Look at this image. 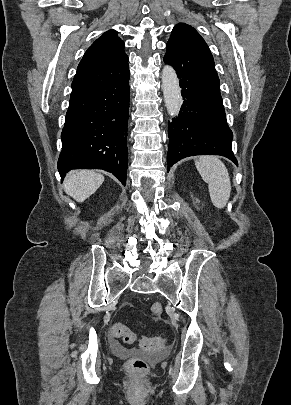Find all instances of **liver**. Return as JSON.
<instances>
[{"label":"liver","instance_id":"liver-1","mask_svg":"<svg viewBox=\"0 0 291 405\" xmlns=\"http://www.w3.org/2000/svg\"><path fill=\"white\" fill-rule=\"evenodd\" d=\"M104 176L92 170H75L64 181L65 192L77 202L89 198L102 185Z\"/></svg>","mask_w":291,"mask_h":405}]
</instances>
